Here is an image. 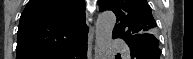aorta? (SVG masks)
<instances>
[{"label":"aorta","instance_id":"aorta-1","mask_svg":"<svg viewBox=\"0 0 193 59\" xmlns=\"http://www.w3.org/2000/svg\"><path fill=\"white\" fill-rule=\"evenodd\" d=\"M116 23V16L111 11L101 13L96 21L95 30V59L112 58V31Z\"/></svg>","mask_w":193,"mask_h":59}]
</instances>
